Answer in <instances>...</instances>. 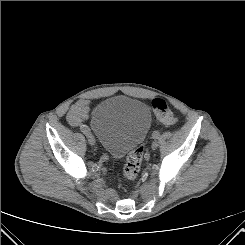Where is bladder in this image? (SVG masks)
<instances>
[{"mask_svg":"<svg viewBox=\"0 0 245 245\" xmlns=\"http://www.w3.org/2000/svg\"><path fill=\"white\" fill-rule=\"evenodd\" d=\"M151 125V113L143 102L115 96L100 102L90 116V128L102 147L121 157L141 144Z\"/></svg>","mask_w":245,"mask_h":245,"instance_id":"bladder-1","label":"bladder"}]
</instances>
